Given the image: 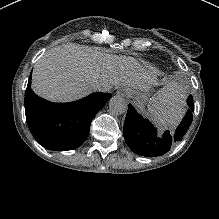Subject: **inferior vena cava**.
<instances>
[{"label":"inferior vena cava","mask_w":219,"mask_h":219,"mask_svg":"<svg viewBox=\"0 0 219 219\" xmlns=\"http://www.w3.org/2000/svg\"><path fill=\"white\" fill-rule=\"evenodd\" d=\"M93 86L101 92H110L112 90V85L109 80L103 77L95 79Z\"/></svg>","instance_id":"obj_1"}]
</instances>
